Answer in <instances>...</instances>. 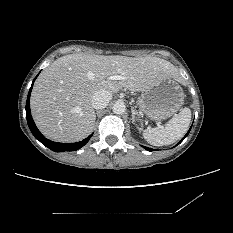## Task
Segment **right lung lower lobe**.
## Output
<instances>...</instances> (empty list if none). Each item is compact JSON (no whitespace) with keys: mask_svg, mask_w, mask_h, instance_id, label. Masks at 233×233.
I'll return each instance as SVG.
<instances>
[{"mask_svg":"<svg viewBox=\"0 0 233 233\" xmlns=\"http://www.w3.org/2000/svg\"><path fill=\"white\" fill-rule=\"evenodd\" d=\"M37 78V76H36ZM35 78V79H36ZM32 82V86L29 90L28 93V97H27V102H26V118H27V123L28 126L32 132V134L34 135V137L39 140L43 145H45L46 147H48L49 149H51L54 152H61V151H76L78 149H80L81 147H83L91 138V136L93 134H91L89 137H87L86 139L80 141V142H76V143H58V142H53L47 138H45L40 131L37 129L33 118L31 116V111H30V95H31V90L34 84V81Z\"/></svg>","mask_w":233,"mask_h":233,"instance_id":"right-lung-lower-lobe-1","label":"right lung lower lobe"}]
</instances>
